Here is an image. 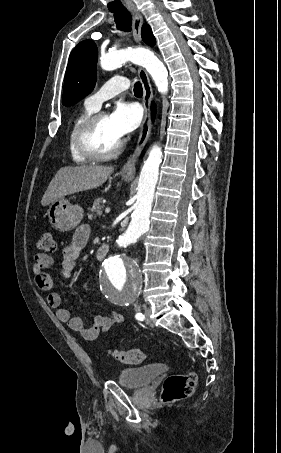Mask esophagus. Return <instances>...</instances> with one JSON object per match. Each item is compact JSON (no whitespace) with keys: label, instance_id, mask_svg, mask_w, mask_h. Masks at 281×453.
I'll return each mask as SVG.
<instances>
[{"label":"esophagus","instance_id":"esophagus-1","mask_svg":"<svg viewBox=\"0 0 281 453\" xmlns=\"http://www.w3.org/2000/svg\"><path fill=\"white\" fill-rule=\"evenodd\" d=\"M133 16V38L136 43H139L141 40V27L143 24V17L137 9L130 10ZM138 75L142 83L144 95H143V107H144V118L141 125V130L139 133L137 145L135 147L133 155L127 160L125 165L122 167L121 172L124 175H134L135 174V164L136 161L142 152L146 142L151 133V101L153 98L152 86L149 80V77L144 70V68L139 67Z\"/></svg>","mask_w":281,"mask_h":453}]
</instances>
